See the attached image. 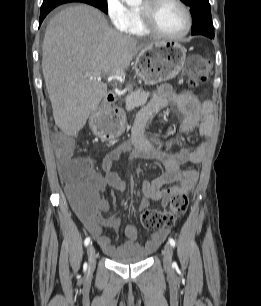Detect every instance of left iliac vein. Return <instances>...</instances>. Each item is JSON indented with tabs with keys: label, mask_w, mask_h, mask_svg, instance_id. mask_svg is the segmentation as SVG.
Returning <instances> with one entry per match:
<instances>
[{
	"label": "left iliac vein",
	"mask_w": 261,
	"mask_h": 306,
	"mask_svg": "<svg viewBox=\"0 0 261 306\" xmlns=\"http://www.w3.org/2000/svg\"><path fill=\"white\" fill-rule=\"evenodd\" d=\"M172 247L170 244H166L163 250V263L166 269H170L172 265Z\"/></svg>",
	"instance_id": "left-iliac-vein-1"
}]
</instances>
